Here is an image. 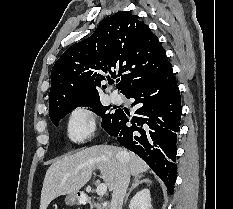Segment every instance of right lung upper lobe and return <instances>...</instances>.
Segmentation results:
<instances>
[{
  "instance_id": "obj_1",
  "label": "right lung upper lobe",
  "mask_w": 233,
  "mask_h": 209,
  "mask_svg": "<svg viewBox=\"0 0 233 209\" xmlns=\"http://www.w3.org/2000/svg\"><path fill=\"white\" fill-rule=\"evenodd\" d=\"M169 65L149 27L136 15L119 11L104 18L90 37L69 47L57 60L51 71L49 112L98 100L96 85L110 76L120 77L119 89L126 95L155 80Z\"/></svg>"
}]
</instances>
